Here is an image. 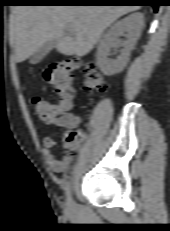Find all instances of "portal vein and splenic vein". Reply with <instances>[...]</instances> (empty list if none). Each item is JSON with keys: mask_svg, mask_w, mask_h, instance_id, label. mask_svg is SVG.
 <instances>
[{"mask_svg": "<svg viewBox=\"0 0 170 231\" xmlns=\"http://www.w3.org/2000/svg\"><path fill=\"white\" fill-rule=\"evenodd\" d=\"M67 31H68L69 33H72V32H73V29L67 28Z\"/></svg>", "mask_w": 170, "mask_h": 231, "instance_id": "1", "label": "portal vein and splenic vein"}]
</instances>
